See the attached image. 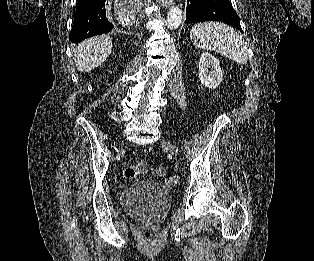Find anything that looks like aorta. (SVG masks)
<instances>
[{
	"label": "aorta",
	"mask_w": 314,
	"mask_h": 261,
	"mask_svg": "<svg viewBox=\"0 0 314 261\" xmlns=\"http://www.w3.org/2000/svg\"><path fill=\"white\" fill-rule=\"evenodd\" d=\"M182 11L178 6H171L167 13V24L170 29H177L182 23Z\"/></svg>",
	"instance_id": "aorta-1"
}]
</instances>
